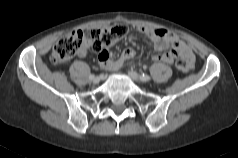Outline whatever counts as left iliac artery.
I'll list each match as a JSON object with an SVG mask.
<instances>
[{
  "label": "left iliac artery",
  "mask_w": 238,
  "mask_h": 158,
  "mask_svg": "<svg viewBox=\"0 0 238 158\" xmlns=\"http://www.w3.org/2000/svg\"><path fill=\"white\" fill-rule=\"evenodd\" d=\"M140 79H141V81H149L151 78H150V76H148L147 74H142L141 76H140Z\"/></svg>",
  "instance_id": "left-iliac-artery-1"
}]
</instances>
